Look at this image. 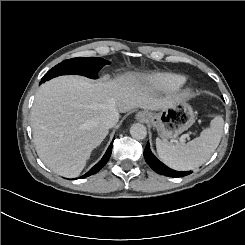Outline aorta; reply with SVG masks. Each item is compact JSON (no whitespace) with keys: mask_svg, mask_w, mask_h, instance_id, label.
<instances>
[{"mask_svg":"<svg viewBox=\"0 0 245 245\" xmlns=\"http://www.w3.org/2000/svg\"><path fill=\"white\" fill-rule=\"evenodd\" d=\"M130 134L133 138L137 140H142L147 135L146 127L143 124L136 123L133 124L130 128Z\"/></svg>","mask_w":245,"mask_h":245,"instance_id":"aorta-1","label":"aorta"}]
</instances>
